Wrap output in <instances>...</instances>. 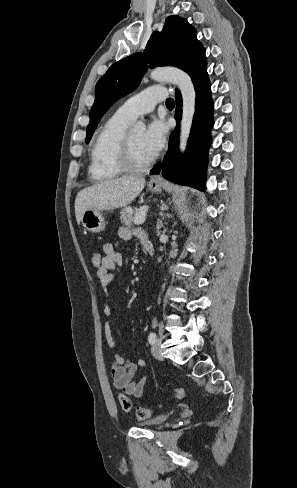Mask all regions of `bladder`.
I'll return each instance as SVG.
<instances>
[{
    "label": "bladder",
    "mask_w": 297,
    "mask_h": 488,
    "mask_svg": "<svg viewBox=\"0 0 297 488\" xmlns=\"http://www.w3.org/2000/svg\"><path fill=\"white\" fill-rule=\"evenodd\" d=\"M170 418V414L169 413H165V414H161V415H158L144 423H141L142 426H147V427H157V426H160L162 425L163 423H165L166 421H168V419Z\"/></svg>",
    "instance_id": "31cf9c89"
}]
</instances>
